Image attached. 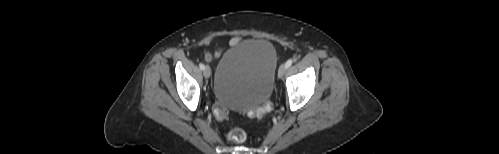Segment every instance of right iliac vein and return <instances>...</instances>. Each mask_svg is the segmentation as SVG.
Returning <instances> with one entry per match:
<instances>
[{
	"label": "right iliac vein",
	"instance_id": "63e3f726",
	"mask_svg": "<svg viewBox=\"0 0 499 154\" xmlns=\"http://www.w3.org/2000/svg\"><path fill=\"white\" fill-rule=\"evenodd\" d=\"M204 77L208 79L211 75V70L209 66H206L203 70Z\"/></svg>",
	"mask_w": 499,
	"mask_h": 154
}]
</instances>
